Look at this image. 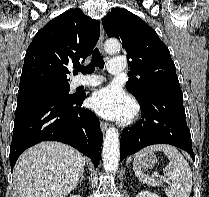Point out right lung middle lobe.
Listing matches in <instances>:
<instances>
[{
    "mask_svg": "<svg viewBox=\"0 0 209 197\" xmlns=\"http://www.w3.org/2000/svg\"><path fill=\"white\" fill-rule=\"evenodd\" d=\"M69 84L41 83L19 88L17 105L44 98H62L69 96Z\"/></svg>",
    "mask_w": 209,
    "mask_h": 197,
    "instance_id": "right-lung-middle-lobe-1",
    "label": "right lung middle lobe"
}]
</instances>
